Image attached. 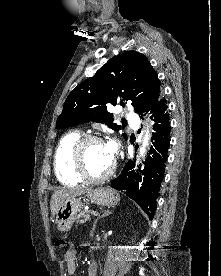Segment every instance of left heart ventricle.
Here are the masks:
<instances>
[{
	"label": "left heart ventricle",
	"mask_w": 221,
	"mask_h": 276,
	"mask_svg": "<svg viewBox=\"0 0 221 276\" xmlns=\"http://www.w3.org/2000/svg\"><path fill=\"white\" fill-rule=\"evenodd\" d=\"M114 158L107 150L103 142H93L85 149V162L88 171L92 175H101L112 165Z\"/></svg>",
	"instance_id": "obj_1"
}]
</instances>
